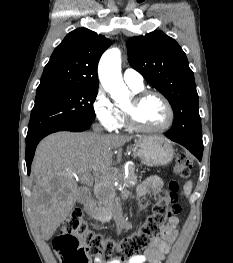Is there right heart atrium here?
Returning a JSON list of instances; mask_svg holds the SVG:
<instances>
[{"instance_id":"right-heart-atrium-1","label":"right heart atrium","mask_w":233,"mask_h":263,"mask_svg":"<svg viewBox=\"0 0 233 263\" xmlns=\"http://www.w3.org/2000/svg\"><path fill=\"white\" fill-rule=\"evenodd\" d=\"M93 110L97 120L105 130L111 132L120 128L121 114L101 86L95 92Z\"/></svg>"}]
</instances>
